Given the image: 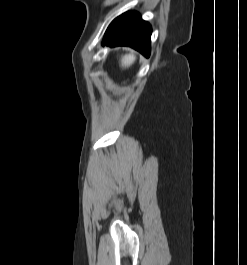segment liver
<instances>
[{
    "mask_svg": "<svg viewBox=\"0 0 247 265\" xmlns=\"http://www.w3.org/2000/svg\"><path fill=\"white\" fill-rule=\"evenodd\" d=\"M135 60L136 56L134 55V52L125 54L124 56L121 57V66L123 68H128L134 63Z\"/></svg>",
    "mask_w": 247,
    "mask_h": 265,
    "instance_id": "6515ba94",
    "label": "liver"
}]
</instances>
